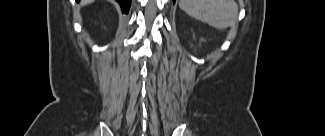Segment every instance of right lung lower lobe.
Listing matches in <instances>:
<instances>
[{
    "instance_id": "98d812e1",
    "label": "right lung lower lobe",
    "mask_w": 325,
    "mask_h": 136,
    "mask_svg": "<svg viewBox=\"0 0 325 136\" xmlns=\"http://www.w3.org/2000/svg\"><path fill=\"white\" fill-rule=\"evenodd\" d=\"M116 1L120 4L122 12L127 14L131 5V0H116Z\"/></svg>"
}]
</instances>
